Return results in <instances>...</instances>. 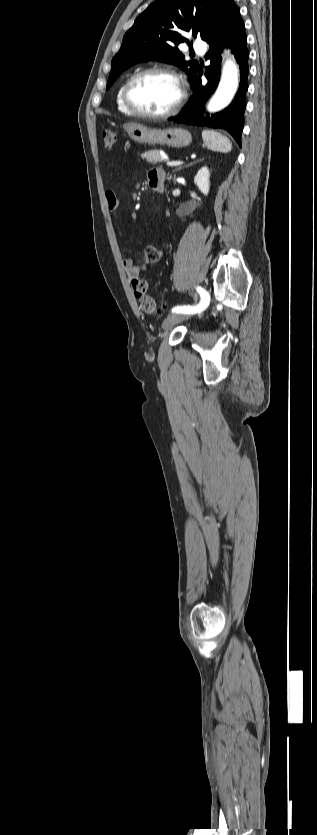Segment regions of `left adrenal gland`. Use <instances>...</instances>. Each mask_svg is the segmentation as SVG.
I'll return each mask as SVG.
<instances>
[{
    "label": "left adrenal gland",
    "instance_id": "a2214340",
    "mask_svg": "<svg viewBox=\"0 0 317 835\" xmlns=\"http://www.w3.org/2000/svg\"><path fill=\"white\" fill-rule=\"evenodd\" d=\"M202 160H203V158H202V159H200V160H195L194 162H192V163H190V164H187V165H186V167H189V166H191V165H193V164H195V163H197V162H200V161H202ZM181 168H182V167H179V168H178V170H180Z\"/></svg>",
    "mask_w": 317,
    "mask_h": 835
}]
</instances>
